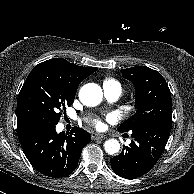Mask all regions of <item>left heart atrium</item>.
<instances>
[{"label":"left heart atrium","instance_id":"obj_1","mask_svg":"<svg viewBox=\"0 0 194 194\" xmlns=\"http://www.w3.org/2000/svg\"><path fill=\"white\" fill-rule=\"evenodd\" d=\"M95 125H96L97 127H101V126H102V123H101L100 120H95Z\"/></svg>","mask_w":194,"mask_h":194}]
</instances>
